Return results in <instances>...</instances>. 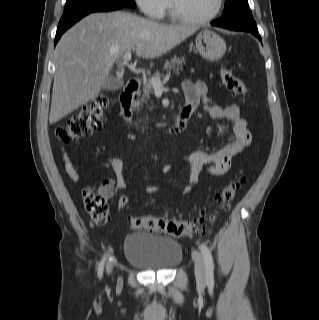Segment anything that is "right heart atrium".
Returning a JSON list of instances; mask_svg holds the SVG:
<instances>
[{
  "instance_id": "obj_1",
  "label": "right heart atrium",
  "mask_w": 319,
  "mask_h": 320,
  "mask_svg": "<svg viewBox=\"0 0 319 320\" xmlns=\"http://www.w3.org/2000/svg\"><path fill=\"white\" fill-rule=\"evenodd\" d=\"M141 11L150 18H161L168 8V0H135Z\"/></svg>"
}]
</instances>
